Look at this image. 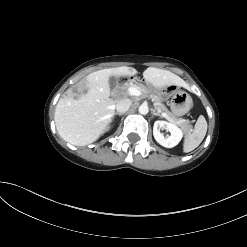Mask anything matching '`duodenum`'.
Listing matches in <instances>:
<instances>
[{
  "label": "duodenum",
  "mask_w": 247,
  "mask_h": 247,
  "mask_svg": "<svg viewBox=\"0 0 247 247\" xmlns=\"http://www.w3.org/2000/svg\"><path fill=\"white\" fill-rule=\"evenodd\" d=\"M130 81H133L134 84H137V85H143L144 88L148 89V91H151V88H149V86H147L149 84V81L148 80H145L144 78H138L136 76H132L130 77L129 79Z\"/></svg>",
  "instance_id": "410a0bca"
}]
</instances>
